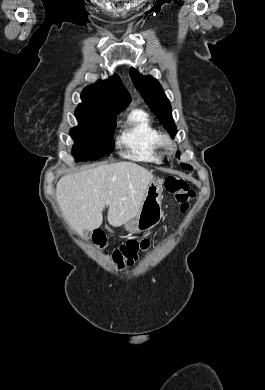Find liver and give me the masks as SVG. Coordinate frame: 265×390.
Instances as JSON below:
<instances>
[{
  "instance_id": "1",
  "label": "liver",
  "mask_w": 265,
  "mask_h": 390,
  "mask_svg": "<svg viewBox=\"0 0 265 390\" xmlns=\"http://www.w3.org/2000/svg\"><path fill=\"white\" fill-rule=\"evenodd\" d=\"M153 174L133 162L100 165L63 176L56 186V199L66 220L79 235L93 231L103 222L119 227L140 211Z\"/></svg>"
}]
</instances>
